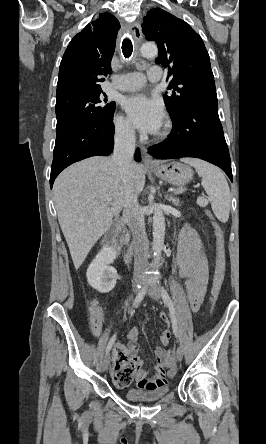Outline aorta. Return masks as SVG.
Instances as JSON below:
<instances>
[{
	"mask_svg": "<svg viewBox=\"0 0 266 444\" xmlns=\"http://www.w3.org/2000/svg\"><path fill=\"white\" fill-rule=\"evenodd\" d=\"M157 46L153 43H145L140 48L143 57L152 58L157 55ZM165 238V217L163 211L159 208L154 210L153 215V257L155 263H159L161 252L164 247Z\"/></svg>",
	"mask_w": 266,
	"mask_h": 444,
	"instance_id": "aorta-1",
	"label": "aorta"
}]
</instances>
